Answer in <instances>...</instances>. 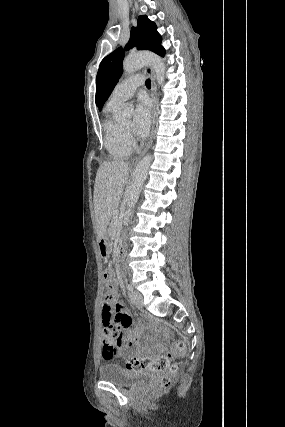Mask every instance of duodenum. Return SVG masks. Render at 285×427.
<instances>
[{
  "label": "duodenum",
  "mask_w": 285,
  "mask_h": 427,
  "mask_svg": "<svg viewBox=\"0 0 285 427\" xmlns=\"http://www.w3.org/2000/svg\"><path fill=\"white\" fill-rule=\"evenodd\" d=\"M118 253H119V255L121 256V254H122V250H119V252H118ZM120 256H119V259H120Z\"/></svg>",
  "instance_id": "410a0bca"
}]
</instances>
